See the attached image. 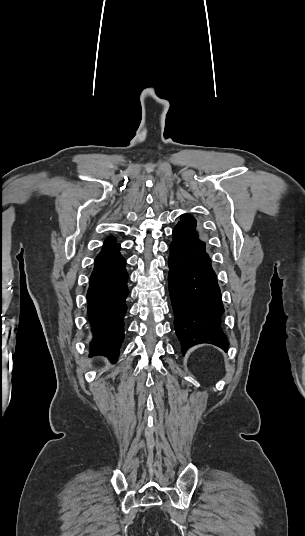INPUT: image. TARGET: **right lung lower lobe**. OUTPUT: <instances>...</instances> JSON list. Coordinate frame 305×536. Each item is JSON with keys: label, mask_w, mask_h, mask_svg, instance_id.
<instances>
[{"label": "right lung lower lobe", "mask_w": 305, "mask_h": 536, "mask_svg": "<svg viewBox=\"0 0 305 536\" xmlns=\"http://www.w3.org/2000/svg\"><path fill=\"white\" fill-rule=\"evenodd\" d=\"M119 250L117 244L102 249L96 256L87 292L88 317L94 337L91 353L105 355L112 362L117 360L124 339L125 299L129 293L126 261Z\"/></svg>", "instance_id": "right-lung-lower-lobe-1"}]
</instances>
